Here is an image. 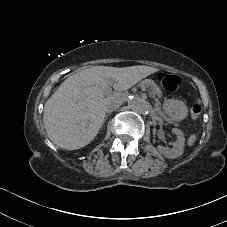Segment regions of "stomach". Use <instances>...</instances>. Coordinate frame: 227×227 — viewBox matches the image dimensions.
<instances>
[{"instance_id":"stomach-1","label":"stomach","mask_w":227,"mask_h":227,"mask_svg":"<svg viewBox=\"0 0 227 227\" xmlns=\"http://www.w3.org/2000/svg\"><path fill=\"white\" fill-rule=\"evenodd\" d=\"M163 110L168 116L176 121L183 120L188 113L186 105L182 101L176 99L165 100Z\"/></svg>"}]
</instances>
